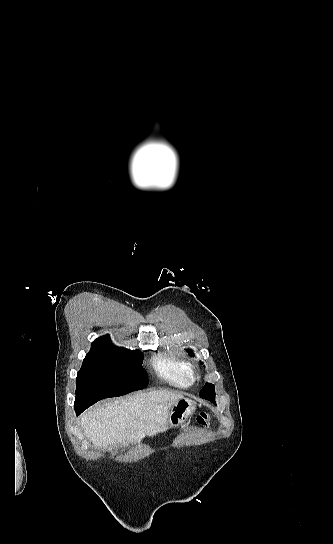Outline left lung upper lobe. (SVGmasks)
Masks as SVG:
<instances>
[{
    "instance_id": "1",
    "label": "left lung upper lobe",
    "mask_w": 333,
    "mask_h": 544,
    "mask_svg": "<svg viewBox=\"0 0 333 544\" xmlns=\"http://www.w3.org/2000/svg\"><path fill=\"white\" fill-rule=\"evenodd\" d=\"M188 353L193 356V353L191 350H188ZM214 385L211 383H206V385L203 387V389L200 391V397L202 398L205 395L214 394Z\"/></svg>"
}]
</instances>
